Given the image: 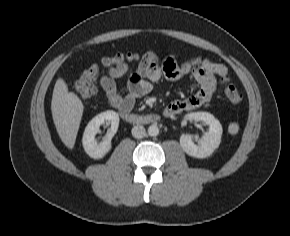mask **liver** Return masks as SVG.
<instances>
[{"label":"liver","mask_w":290,"mask_h":236,"mask_svg":"<svg viewBox=\"0 0 290 236\" xmlns=\"http://www.w3.org/2000/svg\"><path fill=\"white\" fill-rule=\"evenodd\" d=\"M84 106L80 98L68 91L62 78H58L52 95L51 112L57 133L62 142L73 149Z\"/></svg>","instance_id":"liver-1"}]
</instances>
